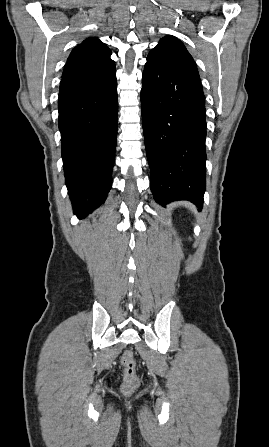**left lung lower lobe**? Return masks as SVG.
<instances>
[{
	"instance_id": "1",
	"label": "left lung lower lobe",
	"mask_w": 269,
	"mask_h": 447,
	"mask_svg": "<svg viewBox=\"0 0 269 447\" xmlns=\"http://www.w3.org/2000/svg\"><path fill=\"white\" fill-rule=\"evenodd\" d=\"M141 111L151 191L158 203L188 200L201 209L206 178L205 99L197 67L151 51Z\"/></svg>"
}]
</instances>
